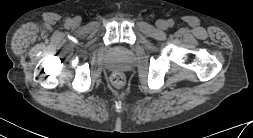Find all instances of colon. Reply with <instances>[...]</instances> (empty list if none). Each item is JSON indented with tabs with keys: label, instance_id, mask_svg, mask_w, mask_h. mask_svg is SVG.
Instances as JSON below:
<instances>
[{
	"label": "colon",
	"instance_id": "obj_1",
	"mask_svg": "<svg viewBox=\"0 0 253 138\" xmlns=\"http://www.w3.org/2000/svg\"><path fill=\"white\" fill-rule=\"evenodd\" d=\"M111 83L115 86V87H122L125 83V77L122 73L120 72H115L112 74L111 76Z\"/></svg>",
	"mask_w": 253,
	"mask_h": 138
}]
</instances>
